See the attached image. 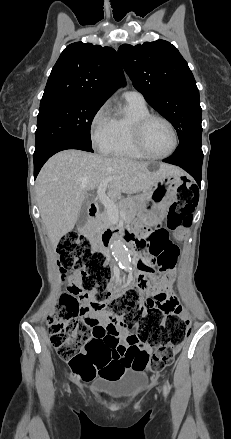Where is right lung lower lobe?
<instances>
[{"instance_id":"right-lung-lower-lobe-1","label":"right lung lower lobe","mask_w":231,"mask_h":439,"mask_svg":"<svg viewBox=\"0 0 231 439\" xmlns=\"http://www.w3.org/2000/svg\"><path fill=\"white\" fill-rule=\"evenodd\" d=\"M66 149H79L93 152L92 147L69 138H59L39 152H34V178L38 175L44 163L55 153Z\"/></svg>"}]
</instances>
